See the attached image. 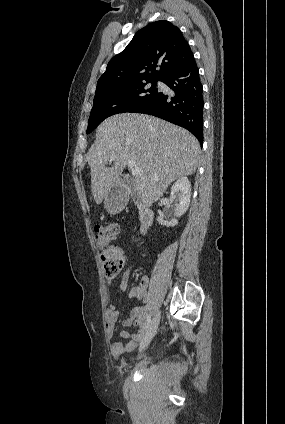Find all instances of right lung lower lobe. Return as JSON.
Here are the masks:
<instances>
[{
  "label": "right lung lower lobe",
  "mask_w": 285,
  "mask_h": 424,
  "mask_svg": "<svg viewBox=\"0 0 285 424\" xmlns=\"http://www.w3.org/2000/svg\"><path fill=\"white\" fill-rule=\"evenodd\" d=\"M171 90L158 91L152 98L130 112L159 117L189 130L203 144V88L197 64L192 59L184 67L161 80Z\"/></svg>",
  "instance_id": "98d812e1"
}]
</instances>
